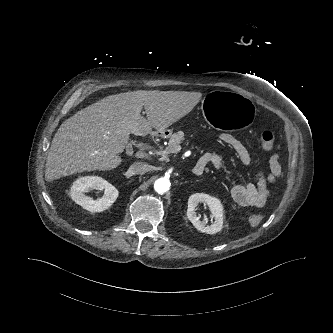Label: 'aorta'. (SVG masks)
Segmentation results:
<instances>
[{
	"mask_svg": "<svg viewBox=\"0 0 333 333\" xmlns=\"http://www.w3.org/2000/svg\"><path fill=\"white\" fill-rule=\"evenodd\" d=\"M170 180L166 177L157 179L154 183V189L157 193L163 194L170 189Z\"/></svg>",
	"mask_w": 333,
	"mask_h": 333,
	"instance_id": "aorta-1",
	"label": "aorta"
}]
</instances>
